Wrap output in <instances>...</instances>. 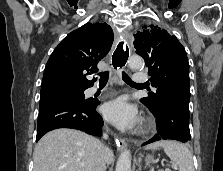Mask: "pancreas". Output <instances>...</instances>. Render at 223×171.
Segmentation results:
<instances>
[{"mask_svg":"<svg viewBox=\"0 0 223 171\" xmlns=\"http://www.w3.org/2000/svg\"><path fill=\"white\" fill-rule=\"evenodd\" d=\"M159 171H163V170H159ZM166 171H171V170H166Z\"/></svg>","mask_w":223,"mask_h":171,"instance_id":"pancreas-1","label":"pancreas"}]
</instances>
